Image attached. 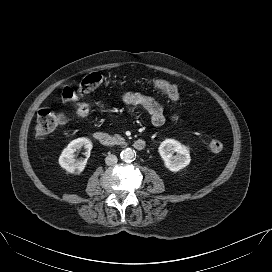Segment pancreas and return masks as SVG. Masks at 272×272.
<instances>
[{
    "instance_id": "pancreas-1",
    "label": "pancreas",
    "mask_w": 272,
    "mask_h": 272,
    "mask_svg": "<svg viewBox=\"0 0 272 272\" xmlns=\"http://www.w3.org/2000/svg\"><path fill=\"white\" fill-rule=\"evenodd\" d=\"M114 140L119 145L125 144V139L123 137H121L119 134L114 135Z\"/></svg>"
}]
</instances>
